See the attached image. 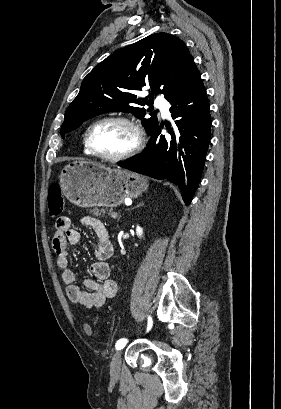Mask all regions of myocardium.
Segmentation results:
<instances>
[{"label":"myocardium","instance_id":"1","mask_svg":"<svg viewBox=\"0 0 281 409\" xmlns=\"http://www.w3.org/2000/svg\"><path fill=\"white\" fill-rule=\"evenodd\" d=\"M114 122L122 123L130 127L134 131L135 136H136L135 143L127 151L119 155H116V156H107V155L100 154L97 151L96 145H95L96 133L98 129L104 124L114 123ZM145 139H146L145 132L143 128L136 121L128 117H125V116L113 115V116H107V117L101 118L93 125L90 135H89V147H90L92 154L101 160L108 161V162H121V161L127 160L135 156L136 154H138L144 147Z\"/></svg>","mask_w":281,"mask_h":409}]
</instances>
